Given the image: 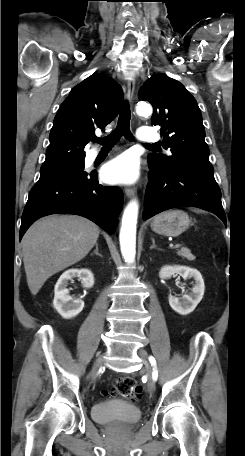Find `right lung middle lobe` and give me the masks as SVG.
<instances>
[{
  "mask_svg": "<svg viewBox=\"0 0 245 456\" xmlns=\"http://www.w3.org/2000/svg\"><path fill=\"white\" fill-rule=\"evenodd\" d=\"M83 160L84 159L65 163L62 165L54 166V167H49V168H41L39 180L83 173L84 172Z\"/></svg>",
  "mask_w": 245,
  "mask_h": 456,
  "instance_id": "dd1d6c3e",
  "label": "right lung middle lobe"
}]
</instances>
